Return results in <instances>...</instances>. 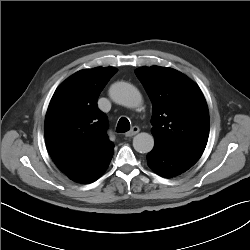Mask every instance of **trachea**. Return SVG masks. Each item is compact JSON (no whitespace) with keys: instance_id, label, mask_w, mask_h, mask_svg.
<instances>
[{"instance_id":"1","label":"trachea","mask_w":250,"mask_h":250,"mask_svg":"<svg viewBox=\"0 0 250 250\" xmlns=\"http://www.w3.org/2000/svg\"><path fill=\"white\" fill-rule=\"evenodd\" d=\"M130 130V122L127 118L122 117L120 118L118 124H117V129L116 131L118 133H124Z\"/></svg>"}]
</instances>
